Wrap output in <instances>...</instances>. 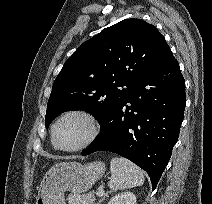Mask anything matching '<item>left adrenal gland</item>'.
Listing matches in <instances>:
<instances>
[{
  "label": "left adrenal gland",
  "instance_id": "left-adrenal-gland-1",
  "mask_svg": "<svg viewBox=\"0 0 212 204\" xmlns=\"http://www.w3.org/2000/svg\"><path fill=\"white\" fill-rule=\"evenodd\" d=\"M108 194L106 193L102 198H101V200L97 203V204H100L104 199H105V197L107 196Z\"/></svg>",
  "mask_w": 212,
  "mask_h": 204
}]
</instances>
